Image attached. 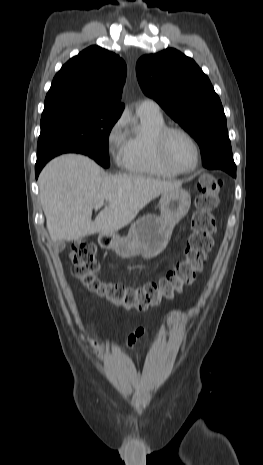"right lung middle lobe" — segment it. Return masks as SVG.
Masks as SVG:
<instances>
[{
	"instance_id": "right-lung-middle-lobe-1",
	"label": "right lung middle lobe",
	"mask_w": 263,
	"mask_h": 465,
	"mask_svg": "<svg viewBox=\"0 0 263 465\" xmlns=\"http://www.w3.org/2000/svg\"><path fill=\"white\" fill-rule=\"evenodd\" d=\"M121 113L77 103L44 105L36 164L45 165L59 154L74 152L109 167V134Z\"/></svg>"
}]
</instances>
